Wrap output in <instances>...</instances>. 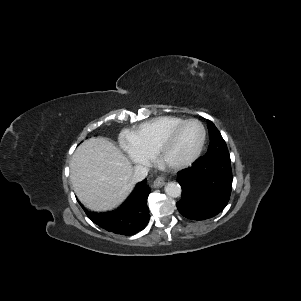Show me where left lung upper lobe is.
I'll return each mask as SVG.
<instances>
[{"instance_id":"5c2ea615","label":"left lung upper lobe","mask_w":301,"mask_h":301,"mask_svg":"<svg viewBox=\"0 0 301 301\" xmlns=\"http://www.w3.org/2000/svg\"><path fill=\"white\" fill-rule=\"evenodd\" d=\"M207 125L209 130L210 144L204 157L212 155L230 156L226 143L218 129L210 120H207Z\"/></svg>"}]
</instances>
